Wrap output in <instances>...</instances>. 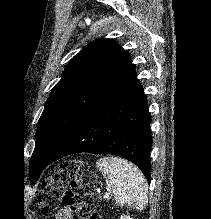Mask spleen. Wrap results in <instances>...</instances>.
I'll return each mask as SVG.
<instances>
[{
    "instance_id": "spleen-1",
    "label": "spleen",
    "mask_w": 211,
    "mask_h": 219,
    "mask_svg": "<svg viewBox=\"0 0 211 219\" xmlns=\"http://www.w3.org/2000/svg\"><path fill=\"white\" fill-rule=\"evenodd\" d=\"M106 179V189L114 194L117 206L142 210L148 203V185L139 169L126 160L104 157L96 162Z\"/></svg>"
}]
</instances>
